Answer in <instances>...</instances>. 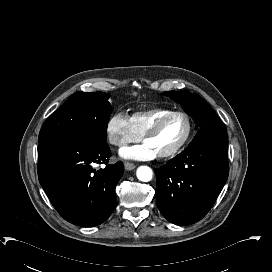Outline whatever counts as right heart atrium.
Returning <instances> with one entry per match:
<instances>
[{
	"mask_svg": "<svg viewBox=\"0 0 272 272\" xmlns=\"http://www.w3.org/2000/svg\"><path fill=\"white\" fill-rule=\"evenodd\" d=\"M107 141L110 144L123 147L141 137V131L123 112L114 114L106 123Z\"/></svg>",
	"mask_w": 272,
	"mask_h": 272,
	"instance_id": "d8ad5b80",
	"label": "right heart atrium"
}]
</instances>
